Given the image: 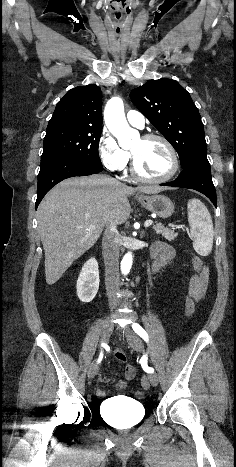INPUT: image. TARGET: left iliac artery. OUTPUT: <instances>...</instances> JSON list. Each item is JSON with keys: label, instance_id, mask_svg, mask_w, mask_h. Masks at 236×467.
I'll use <instances>...</instances> for the list:
<instances>
[{"label": "left iliac artery", "instance_id": "left-iliac-artery-1", "mask_svg": "<svg viewBox=\"0 0 236 467\" xmlns=\"http://www.w3.org/2000/svg\"><path fill=\"white\" fill-rule=\"evenodd\" d=\"M132 328L144 341H146V342L149 341V337H148L147 332L138 323H134L132 325ZM145 359H146V357H145ZM142 367L146 372H149V373L154 372V369L151 368V367H148L145 362L142 363Z\"/></svg>", "mask_w": 236, "mask_h": 467}]
</instances>
